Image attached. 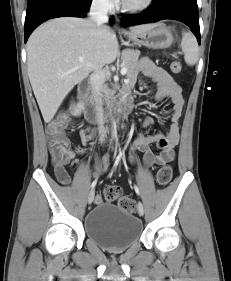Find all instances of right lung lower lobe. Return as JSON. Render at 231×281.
Listing matches in <instances>:
<instances>
[{
  "label": "right lung lower lobe",
  "mask_w": 231,
  "mask_h": 281,
  "mask_svg": "<svg viewBox=\"0 0 231 281\" xmlns=\"http://www.w3.org/2000/svg\"><path fill=\"white\" fill-rule=\"evenodd\" d=\"M92 0H28L25 18V42L43 22L57 17H84ZM110 23H113L111 18Z\"/></svg>",
  "instance_id": "1"
}]
</instances>
